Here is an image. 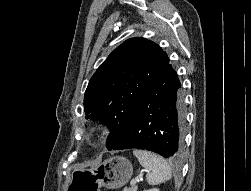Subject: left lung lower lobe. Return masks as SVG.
Masks as SVG:
<instances>
[{"label": "left lung lower lobe", "instance_id": "1", "mask_svg": "<svg viewBox=\"0 0 251 191\" xmlns=\"http://www.w3.org/2000/svg\"><path fill=\"white\" fill-rule=\"evenodd\" d=\"M181 84L171 64L164 69L133 111L110 150L146 149L165 158L182 150L184 122Z\"/></svg>", "mask_w": 251, "mask_h": 191}]
</instances>
